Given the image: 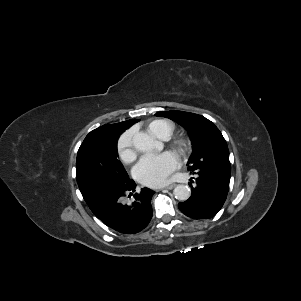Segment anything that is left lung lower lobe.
<instances>
[{
  "mask_svg": "<svg viewBox=\"0 0 301 301\" xmlns=\"http://www.w3.org/2000/svg\"><path fill=\"white\" fill-rule=\"evenodd\" d=\"M197 175L189 185L191 197L179 203V209L188 217L208 219L214 217L222 208L229 190L230 174L215 170L192 171Z\"/></svg>",
  "mask_w": 301,
  "mask_h": 301,
  "instance_id": "1",
  "label": "left lung lower lobe"
}]
</instances>
